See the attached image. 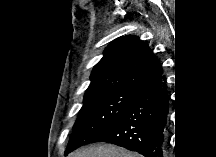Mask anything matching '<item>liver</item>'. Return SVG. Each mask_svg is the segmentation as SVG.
<instances>
[{
	"label": "liver",
	"instance_id": "liver-1",
	"mask_svg": "<svg viewBox=\"0 0 216 157\" xmlns=\"http://www.w3.org/2000/svg\"><path fill=\"white\" fill-rule=\"evenodd\" d=\"M71 157H139V154L110 144H98L77 151Z\"/></svg>",
	"mask_w": 216,
	"mask_h": 157
}]
</instances>
